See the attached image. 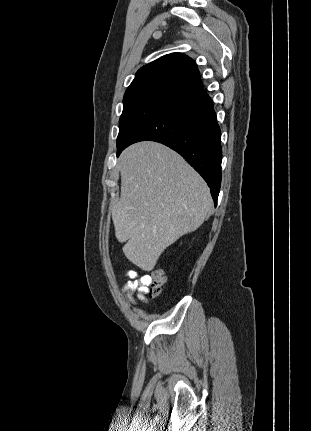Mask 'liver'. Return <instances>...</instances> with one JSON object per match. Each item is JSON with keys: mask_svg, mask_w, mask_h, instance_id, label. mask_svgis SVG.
Wrapping results in <instances>:
<instances>
[{"mask_svg": "<svg viewBox=\"0 0 311 431\" xmlns=\"http://www.w3.org/2000/svg\"><path fill=\"white\" fill-rule=\"evenodd\" d=\"M120 200L112 208L118 241L129 261L150 271L162 251L195 231L213 204L201 176L170 148L139 142L118 158Z\"/></svg>", "mask_w": 311, "mask_h": 431, "instance_id": "1", "label": "liver"}]
</instances>
